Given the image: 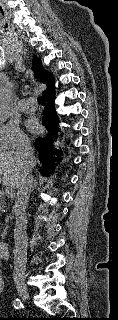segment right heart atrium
<instances>
[{
  "label": "right heart atrium",
  "mask_w": 118,
  "mask_h": 320,
  "mask_svg": "<svg viewBox=\"0 0 118 320\" xmlns=\"http://www.w3.org/2000/svg\"><path fill=\"white\" fill-rule=\"evenodd\" d=\"M28 137L13 122L0 121V151H6L26 144Z\"/></svg>",
  "instance_id": "1"
}]
</instances>
